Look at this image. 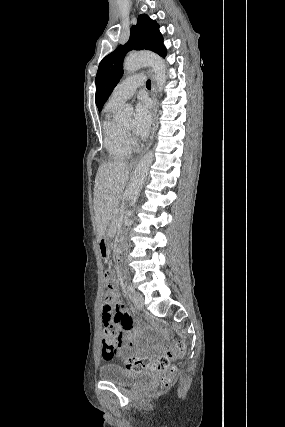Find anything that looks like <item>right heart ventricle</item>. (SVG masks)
I'll list each match as a JSON object with an SVG mask.
<instances>
[{"mask_svg": "<svg viewBox=\"0 0 285 427\" xmlns=\"http://www.w3.org/2000/svg\"><path fill=\"white\" fill-rule=\"evenodd\" d=\"M120 105L107 103L103 119V143L109 156L113 160L127 159L132 151V144L127 134L115 118L114 114Z\"/></svg>", "mask_w": 285, "mask_h": 427, "instance_id": "1", "label": "right heart ventricle"}]
</instances>
